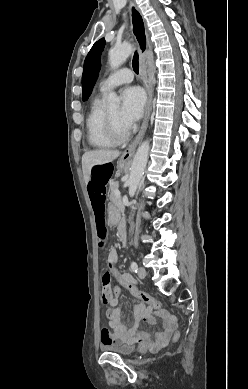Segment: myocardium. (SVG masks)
<instances>
[{"label":"myocardium","mask_w":248,"mask_h":389,"mask_svg":"<svg viewBox=\"0 0 248 389\" xmlns=\"http://www.w3.org/2000/svg\"><path fill=\"white\" fill-rule=\"evenodd\" d=\"M105 120H106L107 134L115 143L125 142L129 138L130 136L129 132L127 130L120 131L116 126L115 122L109 116L108 112H106L105 114Z\"/></svg>","instance_id":"1"}]
</instances>
